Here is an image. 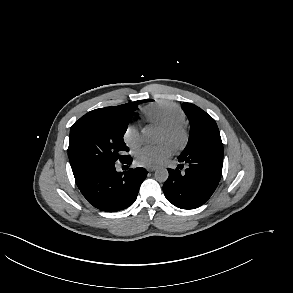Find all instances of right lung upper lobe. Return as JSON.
I'll list each match as a JSON object with an SVG mask.
<instances>
[{
  "instance_id": "1",
  "label": "right lung upper lobe",
  "mask_w": 293,
  "mask_h": 293,
  "mask_svg": "<svg viewBox=\"0 0 293 293\" xmlns=\"http://www.w3.org/2000/svg\"><path fill=\"white\" fill-rule=\"evenodd\" d=\"M129 104V103H128ZM121 106V105H120ZM119 106H114V107H105V108H102V109H96V110H93L89 113H87L86 115H84L83 117L85 116H88V115H92V114H99V113H106V112H110L112 111L113 109L117 108ZM73 170V174H74V177H75V181H76V184L78 187L82 186L83 184L86 183V181L90 178V176L92 174H85V173H80L74 169Z\"/></svg>"
}]
</instances>
